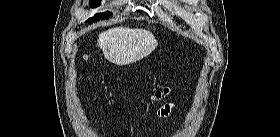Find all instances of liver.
<instances>
[{
  "label": "liver",
  "instance_id": "liver-1",
  "mask_svg": "<svg viewBox=\"0 0 280 137\" xmlns=\"http://www.w3.org/2000/svg\"><path fill=\"white\" fill-rule=\"evenodd\" d=\"M158 45L154 35L146 30L114 27L99 34L97 46L104 57L116 65H128L148 56Z\"/></svg>",
  "mask_w": 280,
  "mask_h": 137
}]
</instances>
